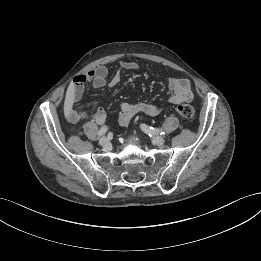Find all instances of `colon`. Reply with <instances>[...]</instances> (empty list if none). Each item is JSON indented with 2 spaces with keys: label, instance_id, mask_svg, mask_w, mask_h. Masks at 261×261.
<instances>
[{
  "label": "colon",
  "instance_id": "1",
  "mask_svg": "<svg viewBox=\"0 0 261 261\" xmlns=\"http://www.w3.org/2000/svg\"><path fill=\"white\" fill-rule=\"evenodd\" d=\"M176 112L185 119H192L195 116L194 108L189 104H180L176 107ZM78 119L85 117L83 111L77 113Z\"/></svg>",
  "mask_w": 261,
  "mask_h": 261
}]
</instances>
